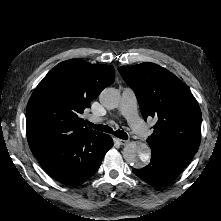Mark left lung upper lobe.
Listing matches in <instances>:
<instances>
[{"label":"left lung upper lobe","instance_id":"left-lung-upper-lobe-1","mask_svg":"<svg viewBox=\"0 0 221 221\" xmlns=\"http://www.w3.org/2000/svg\"><path fill=\"white\" fill-rule=\"evenodd\" d=\"M119 72L134 90L144 120H157L147 142L152 154L185 167L201 140V111L188 87L154 63L122 66Z\"/></svg>","mask_w":221,"mask_h":221}]
</instances>
